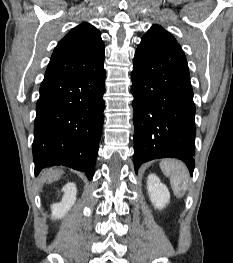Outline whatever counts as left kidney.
<instances>
[{
  "label": "left kidney",
  "instance_id": "1",
  "mask_svg": "<svg viewBox=\"0 0 233 263\" xmlns=\"http://www.w3.org/2000/svg\"><path fill=\"white\" fill-rule=\"evenodd\" d=\"M147 189L151 203L155 208L163 209L169 203V190L155 174L148 176Z\"/></svg>",
  "mask_w": 233,
  "mask_h": 263
}]
</instances>
